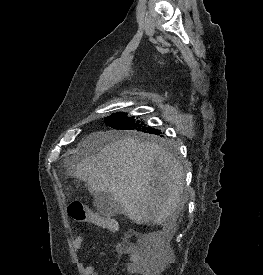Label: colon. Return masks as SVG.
I'll use <instances>...</instances> for the list:
<instances>
[{
	"label": "colon",
	"instance_id": "colon-1",
	"mask_svg": "<svg viewBox=\"0 0 263 275\" xmlns=\"http://www.w3.org/2000/svg\"><path fill=\"white\" fill-rule=\"evenodd\" d=\"M68 213L77 222H90L102 224L105 229L117 232L119 225L115 221L105 220L103 217L88 210L82 203L74 202L69 205ZM165 250L162 247L153 246L148 252V275H155L159 266L164 263Z\"/></svg>",
	"mask_w": 263,
	"mask_h": 275
}]
</instances>
